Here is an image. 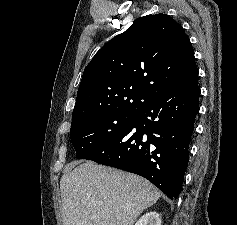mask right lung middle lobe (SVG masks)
Returning <instances> with one entry per match:
<instances>
[{
	"label": "right lung middle lobe",
	"instance_id": "right-lung-middle-lobe-1",
	"mask_svg": "<svg viewBox=\"0 0 237 225\" xmlns=\"http://www.w3.org/2000/svg\"><path fill=\"white\" fill-rule=\"evenodd\" d=\"M136 113H104L72 123L70 137L76 158L83 159L106 145L133 121Z\"/></svg>",
	"mask_w": 237,
	"mask_h": 225
}]
</instances>
